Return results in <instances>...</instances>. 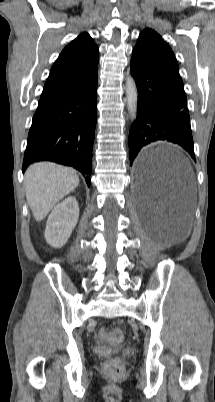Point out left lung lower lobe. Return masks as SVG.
Instances as JSON below:
<instances>
[{"instance_id": "left-lung-lower-lobe-1", "label": "left lung lower lobe", "mask_w": 215, "mask_h": 402, "mask_svg": "<svg viewBox=\"0 0 215 402\" xmlns=\"http://www.w3.org/2000/svg\"><path fill=\"white\" fill-rule=\"evenodd\" d=\"M130 67L138 91L137 118L129 133L130 165L144 146L158 141L181 146L195 160L183 84L133 61ZM139 176L146 179L151 175L141 171ZM163 189L172 198L170 190Z\"/></svg>"}]
</instances>
